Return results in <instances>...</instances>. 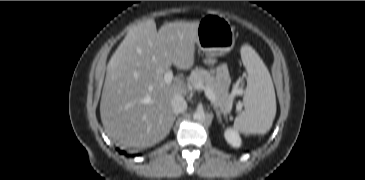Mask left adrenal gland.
<instances>
[{
	"mask_svg": "<svg viewBox=\"0 0 365 180\" xmlns=\"http://www.w3.org/2000/svg\"><path fill=\"white\" fill-rule=\"evenodd\" d=\"M214 110L216 112V116H217V119H218V122L221 123L222 122V119H221V115L222 113L220 112V110L215 106L214 107ZM224 118L226 119V113L223 114Z\"/></svg>",
	"mask_w": 365,
	"mask_h": 180,
	"instance_id": "a2214340",
	"label": "left adrenal gland"
}]
</instances>
